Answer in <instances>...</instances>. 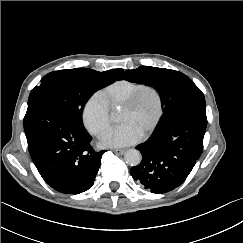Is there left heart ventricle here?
Wrapping results in <instances>:
<instances>
[{
	"label": "left heart ventricle",
	"instance_id": "1",
	"mask_svg": "<svg viewBox=\"0 0 243 243\" xmlns=\"http://www.w3.org/2000/svg\"><path fill=\"white\" fill-rule=\"evenodd\" d=\"M158 111V100L155 93L146 90L142 93L135 109L124 110L120 114L121 123H130L143 134L152 125Z\"/></svg>",
	"mask_w": 243,
	"mask_h": 243
}]
</instances>
